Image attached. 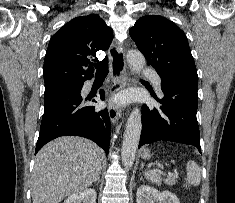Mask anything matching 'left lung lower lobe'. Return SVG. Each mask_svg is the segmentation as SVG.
<instances>
[{"instance_id":"1","label":"left lung lower lobe","mask_w":235,"mask_h":203,"mask_svg":"<svg viewBox=\"0 0 235 203\" xmlns=\"http://www.w3.org/2000/svg\"><path fill=\"white\" fill-rule=\"evenodd\" d=\"M164 97L162 106H142L143 127L139 147L155 141H173L197 147L201 152L200 134L196 118L197 87L178 82L161 81Z\"/></svg>"}]
</instances>
